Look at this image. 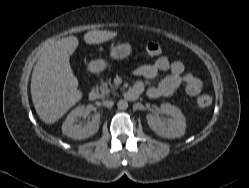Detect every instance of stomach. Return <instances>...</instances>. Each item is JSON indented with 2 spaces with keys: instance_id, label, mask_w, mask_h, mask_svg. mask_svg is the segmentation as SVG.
Masks as SVG:
<instances>
[{
  "instance_id": "1",
  "label": "stomach",
  "mask_w": 249,
  "mask_h": 188,
  "mask_svg": "<svg viewBox=\"0 0 249 188\" xmlns=\"http://www.w3.org/2000/svg\"><path fill=\"white\" fill-rule=\"evenodd\" d=\"M132 48L128 43L118 44L110 50V57L112 59L121 60L128 57L131 54ZM107 67V61L103 59L93 60L89 64V70L92 72H101Z\"/></svg>"
}]
</instances>
